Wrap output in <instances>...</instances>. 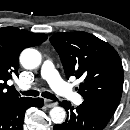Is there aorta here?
<instances>
[{"label":"aorta","mask_w":130,"mask_h":130,"mask_svg":"<svg viewBox=\"0 0 130 130\" xmlns=\"http://www.w3.org/2000/svg\"><path fill=\"white\" fill-rule=\"evenodd\" d=\"M42 57L38 50L27 48L20 55V63L26 69H34L41 64ZM51 120L56 124H61L66 118V112L62 107H54L50 110Z\"/></svg>","instance_id":"1"}]
</instances>
